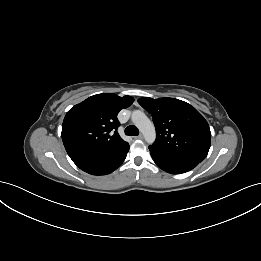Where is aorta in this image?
<instances>
[{"mask_svg": "<svg viewBox=\"0 0 261 261\" xmlns=\"http://www.w3.org/2000/svg\"><path fill=\"white\" fill-rule=\"evenodd\" d=\"M132 122L143 133L145 140L148 143H153L155 140V129L149 118L140 110H135L132 113Z\"/></svg>", "mask_w": 261, "mask_h": 261, "instance_id": "obj_1", "label": "aorta"}]
</instances>
